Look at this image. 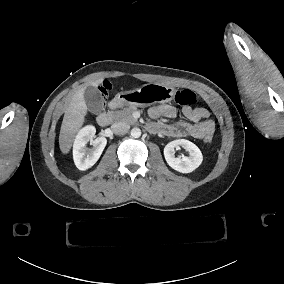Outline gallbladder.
Instances as JSON below:
<instances>
[{
	"mask_svg": "<svg viewBox=\"0 0 284 284\" xmlns=\"http://www.w3.org/2000/svg\"><path fill=\"white\" fill-rule=\"evenodd\" d=\"M85 101L89 111L94 115H99L104 111V100L98 89L89 86L86 90Z\"/></svg>",
	"mask_w": 284,
	"mask_h": 284,
	"instance_id": "1",
	"label": "gallbladder"
}]
</instances>
